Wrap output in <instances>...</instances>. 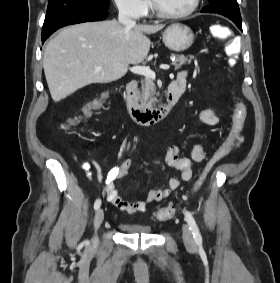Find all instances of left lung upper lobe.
<instances>
[{
	"mask_svg": "<svg viewBox=\"0 0 280 283\" xmlns=\"http://www.w3.org/2000/svg\"><path fill=\"white\" fill-rule=\"evenodd\" d=\"M209 6L204 7L201 12L218 13L229 19L241 20L239 6L236 0H208Z\"/></svg>",
	"mask_w": 280,
	"mask_h": 283,
	"instance_id": "5c2ea615",
	"label": "left lung upper lobe"
}]
</instances>
